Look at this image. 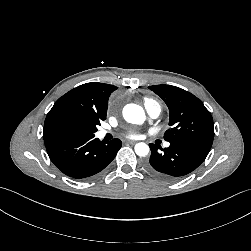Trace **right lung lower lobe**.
<instances>
[{
  "instance_id": "1",
  "label": "right lung lower lobe",
  "mask_w": 251,
  "mask_h": 251,
  "mask_svg": "<svg viewBox=\"0 0 251 251\" xmlns=\"http://www.w3.org/2000/svg\"><path fill=\"white\" fill-rule=\"evenodd\" d=\"M94 137L49 142L45 146L50 160L61 172L84 179L102 171L122 146L119 139L104 143Z\"/></svg>"
}]
</instances>
